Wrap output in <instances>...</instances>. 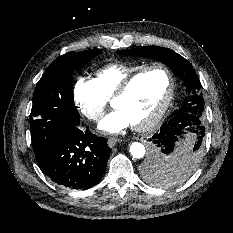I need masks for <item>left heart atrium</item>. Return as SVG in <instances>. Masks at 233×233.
Segmentation results:
<instances>
[{
    "label": "left heart atrium",
    "mask_w": 233,
    "mask_h": 233,
    "mask_svg": "<svg viewBox=\"0 0 233 233\" xmlns=\"http://www.w3.org/2000/svg\"><path fill=\"white\" fill-rule=\"evenodd\" d=\"M131 125L128 118L119 110H115L106 116L99 124L103 132L115 134Z\"/></svg>",
    "instance_id": "39dd6f15"
}]
</instances>
